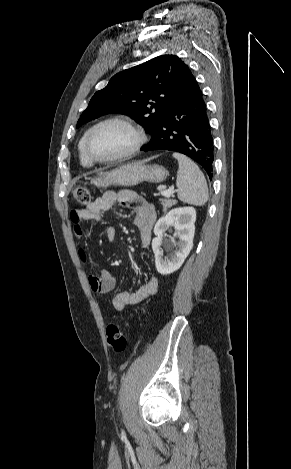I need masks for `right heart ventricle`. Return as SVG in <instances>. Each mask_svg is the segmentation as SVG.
I'll list each match as a JSON object with an SVG mask.
<instances>
[{"mask_svg": "<svg viewBox=\"0 0 291 469\" xmlns=\"http://www.w3.org/2000/svg\"><path fill=\"white\" fill-rule=\"evenodd\" d=\"M86 134L87 132L82 136V138L79 141L78 152H79V159H80L81 165L84 167H90L93 165V162L86 156L84 152V140H85Z\"/></svg>", "mask_w": 291, "mask_h": 469, "instance_id": "e07e8e85", "label": "right heart ventricle"}]
</instances>
